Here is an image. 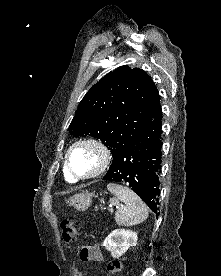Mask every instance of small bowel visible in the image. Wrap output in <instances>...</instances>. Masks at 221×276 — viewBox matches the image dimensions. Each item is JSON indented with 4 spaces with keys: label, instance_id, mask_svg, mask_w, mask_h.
Returning <instances> with one entry per match:
<instances>
[{
    "label": "small bowel",
    "instance_id": "1",
    "mask_svg": "<svg viewBox=\"0 0 221 276\" xmlns=\"http://www.w3.org/2000/svg\"><path fill=\"white\" fill-rule=\"evenodd\" d=\"M80 259L81 261H102V254L95 246H83L80 251ZM73 276H83V274L77 267H74Z\"/></svg>",
    "mask_w": 221,
    "mask_h": 276
}]
</instances>
